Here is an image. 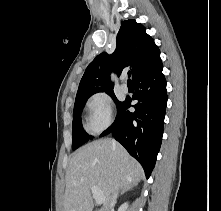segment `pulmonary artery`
Segmentation results:
<instances>
[{
    "label": "pulmonary artery",
    "instance_id": "1",
    "mask_svg": "<svg viewBox=\"0 0 221 211\" xmlns=\"http://www.w3.org/2000/svg\"><path fill=\"white\" fill-rule=\"evenodd\" d=\"M121 79H122L121 90H122L123 92H127V91H128V85H127V83L125 82V76L123 75V76L121 77Z\"/></svg>",
    "mask_w": 221,
    "mask_h": 211
}]
</instances>
